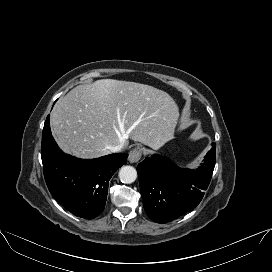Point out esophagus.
Masks as SVG:
<instances>
[{
    "label": "esophagus",
    "instance_id": "1",
    "mask_svg": "<svg viewBox=\"0 0 272 272\" xmlns=\"http://www.w3.org/2000/svg\"><path fill=\"white\" fill-rule=\"evenodd\" d=\"M141 158V149L134 148L129 153V162L130 163H137Z\"/></svg>",
    "mask_w": 272,
    "mask_h": 272
}]
</instances>
